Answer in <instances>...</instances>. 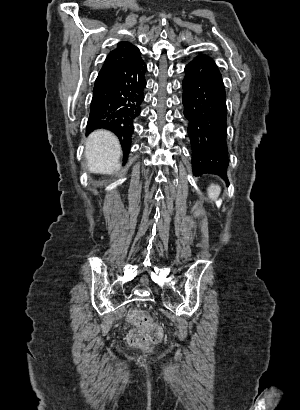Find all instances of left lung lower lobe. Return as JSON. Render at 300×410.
I'll return each mask as SVG.
<instances>
[{"label": "left lung lower lobe", "mask_w": 300, "mask_h": 410, "mask_svg": "<svg viewBox=\"0 0 300 410\" xmlns=\"http://www.w3.org/2000/svg\"><path fill=\"white\" fill-rule=\"evenodd\" d=\"M184 115L192 146L194 175L217 174L227 180L226 95L215 62L199 55L185 67L182 82Z\"/></svg>", "instance_id": "obj_1"}]
</instances>
